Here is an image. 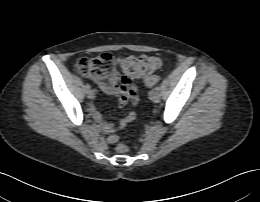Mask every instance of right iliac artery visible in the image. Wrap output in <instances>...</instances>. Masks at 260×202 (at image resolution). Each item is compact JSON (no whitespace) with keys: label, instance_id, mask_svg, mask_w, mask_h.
Here are the masks:
<instances>
[{"label":"right iliac artery","instance_id":"1","mask_svg":"<svg viewBox=\"0 0 260 202\" xmlns=\"http://www.w3.org/2000/svg\"><path fill=\"white\" fill-rule=\"evenodd\" d=\"M85 88H86L87 90H89V89H90V85H89V84H86V85H85Z\"/></svg>","mask_w":260,"mask_h":202}]
</instances>
